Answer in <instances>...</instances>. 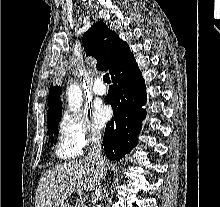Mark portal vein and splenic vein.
Segmentation results:
<instances>
[{"label":"portal vein and splenic vein","mask_w":220,"mask_h":207,"mask_svg":"<svg viewBox=\"0 0 220 207\" xmlns=\"http://www.w3.org/2000/svg\"><path fill=\"white\" fill-rule=\"evenodd\" d=\"M81 207H87V206H85L84 204H81Z\"/></svg>","instance_id":"portal-vein-and-splenic-vein-1"}]
</instances>
